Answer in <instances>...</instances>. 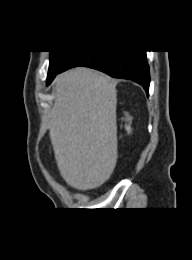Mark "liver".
Instances as JSON below:
<instances>
[{"label":"liver","instance_id":"liver-1","mask_svg":"<svg viewBox=\"0 0 192 260\" xmlns=\"http://www.w3.org/2000/svg\"><path fill=\"white\" fill-rule=\"evenodd\" d=\"M116 82L77 67L55 79L49 135L61 176L78 190L102 185L117 161Z\"/></svg>","mask_w":192,"mask_h":260}]
</instances>
